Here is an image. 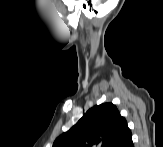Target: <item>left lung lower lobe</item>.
Masks as SVG:
<instances>
[{
    "label": "left lung lower lobe",
    "instance_id": "1",
    "mask_svg": "<svg viewBox=\"0 0 163 147\" xmlns=\"http://www.w3.org/2000/svg\"><path fill=\"white\" fill-rule=\"evenodd\" d=\"M114 147H133L132 134L128 126L124 129Z\"/></svg>",
    "mask_w": 163,
    "mask_h": 147
}]
</instances>
